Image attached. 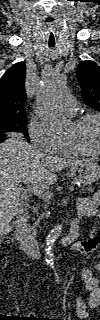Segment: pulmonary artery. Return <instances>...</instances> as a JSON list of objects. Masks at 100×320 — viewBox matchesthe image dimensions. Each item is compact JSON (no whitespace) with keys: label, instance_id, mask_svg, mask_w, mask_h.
Segmentation results:
<instances>
[{"label":"pulmonary artery","instance_id":"1","mask_svg":"<svg viewBox=\"0 0 100 320\" xmlns=\"http://www.w3.org/2000/svg\"><path fill=\"white\" fill-rule=\"evenodd\" d=\"M58 108L66 114L72 115L76 112L77 104L75 99L68 95L63 94L57 101Z\"/></svg>","mask_w":100,"mask_h":320}]
</instances>
